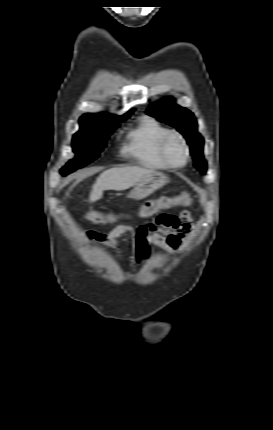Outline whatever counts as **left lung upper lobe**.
Segmentation results:
<instances>
[{
	"mask_svg": "<svg viewBox=\"0 0 273 430\" xmlns=\"http://www.w3.org/2000/svg\"><path fill=\"white\" fill-rule=\"evenodd\" d=\"M147 114L175 127L184 135L190 145L191 155L195 161L194 166L205 173L207 169L206 161L203 158V138L197 132V122L192 112L188 109L176 105L174 99L167 98L151 105L146 111Z\"/></svg>",
	"mask_w": 273,
	"mask_h": 430,
	"instance_id": "1",
	"label": "left lung upper lobe"
}]
</instances>
